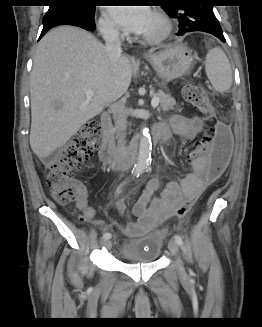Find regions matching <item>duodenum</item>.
<instances>
[{
  "mask_svg": "<svg viewBox=\"0 0 262 327\" xmlns=\"http://www.w3.org/2000/svg\"><path fill=\"white\" fill-rule=\"evenodd\" d=\"M158 125L151 130L152 142L159 140ZM102 140L98 149L99 159L109 165L130 166L141 144V138L134 139L125 148H118L115 144L111 113L106 111L101 116Z\"/></svg>",
  "mask_w": 262,
  "mask_h": 327,
  "instance_id": "1",
  "label": "duodenum"
}]
</instances>
